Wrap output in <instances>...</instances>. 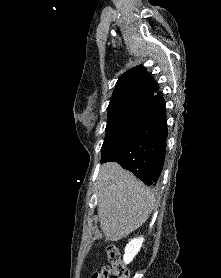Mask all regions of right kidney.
I'll return each instance as SVG.
<instances>
[{
    "label": "right kidney",
    "mask_w": 221,
    "mask_h": 278,
    "mask_svg": "<svg viewBox=\"0 0 221 278\" xmlns=\"http://www.w3.org/2000/svg\"><path fill=\"white\" fill-rule=\"evenodd\" d=\"M143 241L144 238L139 237V238L132 239L127 244V246L125 247V253L123 257L125 264H129L133 260L136 254L140 251Z\"/></svg>",
    "instance_id": "1"
}]
</instances>
